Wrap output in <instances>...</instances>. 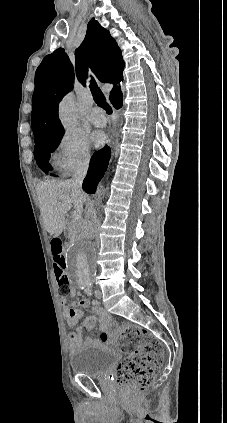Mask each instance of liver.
Returning <instances> with one entry per match:
<instances>
[{"label": "liver", "instance_id": "6515ba94", "mask_svg": "<svg viewBox=\"0 0 227 423\" xmlns=\"http://www.w3.org/2000/svg\"><path fill=\"white\" fill-rule=\"evenodd\" d=\"M36 190L42 221L48 233H51L53 237L61 235L64 229H68L71 233V227H67L66 213L72 206L76 211H83L87 194L74 190L71 180L41 182L37 184ZM85 223V229H89L88 221Z\"/></svg>", "mask_w": 227, "mask_h": 423}]
</instances>
